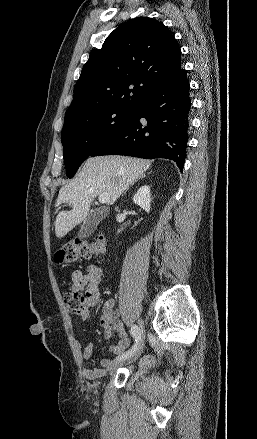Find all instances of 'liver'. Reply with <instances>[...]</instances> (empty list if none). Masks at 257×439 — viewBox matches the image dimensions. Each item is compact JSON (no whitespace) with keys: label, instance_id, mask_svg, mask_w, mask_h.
I'll use <instances>...</instances> for the list:
<instances>
[{"label":"liver","instance_id":"1","mask_svg":"<svg viewBox=\"0 0 257 439\" xmlns=\"http://www.w3.org/2000/svg\"><path fill=\"white\" fill-rule=\"evenodd\" d=\"M151 161L122 156L88 158L78 175L59 191L56 206L67 203L72 210L61 211L56 217L55 233L65 236L76 225L85 221L92 198L107 193L108 205L120 197L130 184L142 176Z\"/></svg>","mask_w":257,"mask_h":439}]
</instances>
